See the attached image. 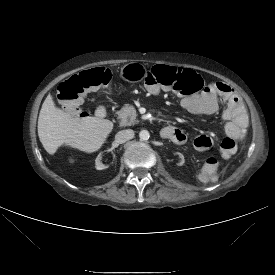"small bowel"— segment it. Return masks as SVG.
<instances>
[{"label": "small bowel", "instance_id": "c3829d8e", "mask_svg": "<svg viewBox=\"0 0 275 275\" xmlns=\"http://www.w3.org/2000/svg\"><path fill=\"white\" fill-rule=\"evenodd\" d=\"M221 104H226L220 115L225 134L242 143L246 138L249 120L241 98L232 87L224 83H213L201 94L188 96L182 101V105L189 112L198 115L213 114L218 111ZM161 135L178 144L187 141V135L175 127L164 128ZM191 143L197 151L204 153V158L200 163L199 180L201 184L206 187L215 185L218 175L221 173V166L217 161V153L211 150L213 146L211 137L206 134L194 133L191 136Z\"/></svg>", "mask_w": 275, "mask_h": 275}]
</instances>
